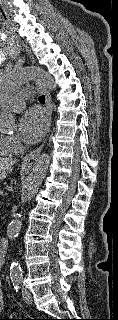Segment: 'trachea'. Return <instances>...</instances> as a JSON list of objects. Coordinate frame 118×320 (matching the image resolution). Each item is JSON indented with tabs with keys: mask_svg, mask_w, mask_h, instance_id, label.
<instances>
[{
	"mask_svg": "<svg viewBox=\"0 0 118 320\" xmlns=\"http://www.w3.org/2000/svg\"><path fill=\"white\" fill-rule=\"evenodd\" d=\"M38 100H39V102L44 103L45 102V97L44 96H40Z\"/></svg>",
	"mask_w": 118,
	"mask_h": 320,
	"instance_id": "trachea-1",
	"label": "trachea"
}]
</instances>
